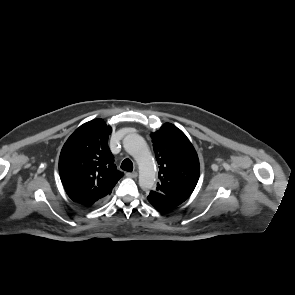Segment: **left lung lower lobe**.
Instances as JSON below:
<instances>
[{
    "label": "left lung lower lobe",
    "mask_w": 295,
    "mask_h": 295,
    "mask_svg": "<svg viewBox=\"0 0 295 295\" xmlns=\"http://www.w3.org/2000/svg\"><path fill=\"white\" fill-rule=\"evenodd\" d=\"M147 199L150 204L158 210L173 209L183 203L179 200L167 197L156 191H151Z\"/></svg>",
    "instance_id": "obj_1"
}]
</instances>
